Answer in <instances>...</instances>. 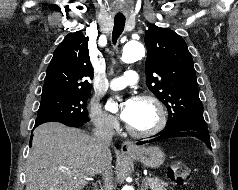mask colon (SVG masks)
Listing matches in <instances>:
<instances>
[{
    "label": "colon",
    "mask_w": 238,
    "mask_h": 190,
    "mask_svg": "<svg viewBox=\"0 0 238 190\" xmlns=\"http://www.w3.org/2000/svg\"><path fill=\"white\" fill-rule=\"evenodd\" d=\"M168 174L177 185L186 184L190 178V168L182 162H173L168 168Z\"/></svg>",
    "instance_id": "5ec220e1"
}]
</instances>
